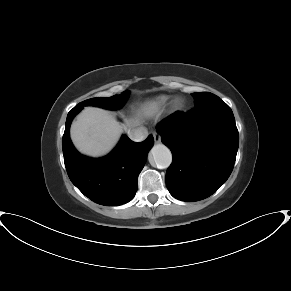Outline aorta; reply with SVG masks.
I'll return each mask as SVG.
<instances>
[{
  "mask_svg": "<svg viewBox=\"0 0 291 291\" xmlns=\"http://www.w3.org/2000/svg\"><path fill=\"white\" fill-rule=\"evenodd\" d=\"M151 155L157 168H168L172 163V154L168 147L163 144L154 145L151 149Z\"/></svg>",
  "mask_w": 291,
  "mask_h": 291,
  "instance_id": "obj_1",
  "label": "aorta"
}]
</instances>
